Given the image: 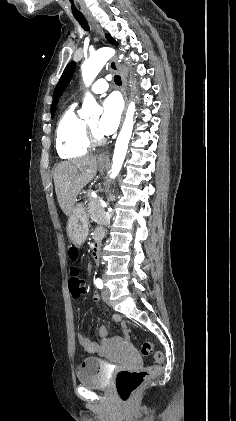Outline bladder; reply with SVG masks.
Returning a JSON list of instances; mask_svg holds the SVG:
<instances>
[{
    "instance_id": "bladder-1",
    "label": "bladder",
    "mask_w": 236,
    "mask_h": 421,
    "mask_svg": "<svg viewBox=\"0 0 236 421\" xmlns=\"http://www.w3.org/2000/svg\"><path fill=\"white\" fill-rule=\"evenodd\" d=\"M102 361L89 357L83 360L76 371L77 382L88 386L92 390L107 387L106 373L101 369Z\"/></svg>"
}]
</instances>
